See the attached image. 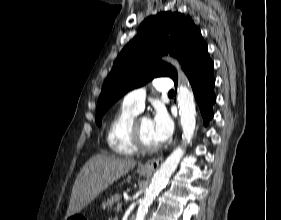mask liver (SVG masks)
Wrapping results in <instances>:
<instances>
[{"instance_id": "1", "label": "liver", "mask_w": 281, "mask_h": 220, "mask_svg": "<svg viewBox=\"0 0 281 220\" xmlns=\"http://www.w3.org/2000/svg\"><path fill=\"white\" fill-rule=\"evenodd\" d=\"M135 165V160L120 159L109 154L91 157L76 177L65 218L79 213L109 185L129 173Z\"/></svg>"}]
</instances>
